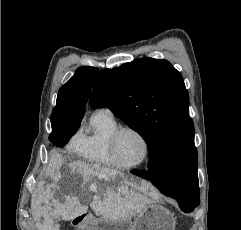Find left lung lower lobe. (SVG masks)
I'll return each mask as SVG.
<instances>
[{"label": "left lung lower lobe", "mask_w": 241, "mask_h": 230, "mask_svg": "<svg viewBox=\"0 0 241 230\" xmlns=\"http://www.w3.org/2000/svg\"><path fill=\"white\" fill-rule=\"evenodd\" d=\"M131 173L149 180L163 194L175 198L182 211L186 213L193 211L200 204L198 179L184 193L172 194L167 190L168 162L163 157L158 155L152 156L149 160L147 171L133 170Z\"/></svg>", "instance_id": "1"}]
</instances>
